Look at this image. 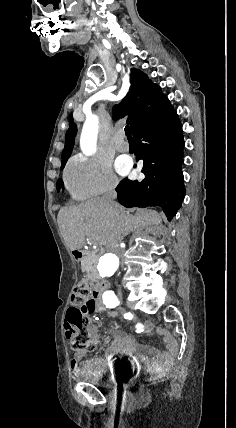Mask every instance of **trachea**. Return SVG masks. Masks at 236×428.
I'll use <instances>...</instances> for the list:
<instances>
[{
	"instance_id": "1",
	"label": "trachea",
	"mask_w": 236,
	"mask_h": 428,
	"mask_svg": "<svg viewBox=\"0 0 236 428\" xmlns=\"http://www.w3.org/2000/svg\"><path fill=\"white\" fill-rule=\"evenodd\" d=\"M125 133H126V136H127L128 139H132L131 128L128 125H126V127H125Z\"/></svg>"
}]
</instances>
